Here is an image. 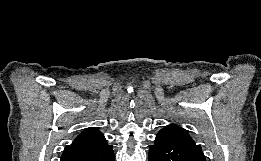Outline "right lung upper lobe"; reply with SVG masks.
I'll return each instance as SVG.
<instances>
[{"instance_id": "right-lung-upper-lobe-1", "label": "right lung upper lobe", "mask_w": 261, "mask_h": 161, "mask_svg": "<svg viewBox=\"0 0 261 161\" xmlns=\"http://www.w3.org/2000/svg\"><path fill=\"white\" fill-rule=\"evenodd\" d=\"M105 144H107V142L103 134L98 130L90 129L81 133L71 145H67L63 154L88 151L99 148Z\"/></svg>"}]
</instances>
